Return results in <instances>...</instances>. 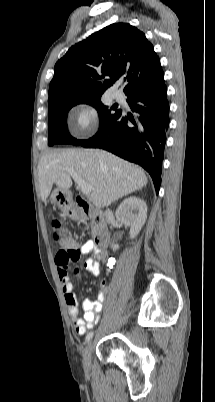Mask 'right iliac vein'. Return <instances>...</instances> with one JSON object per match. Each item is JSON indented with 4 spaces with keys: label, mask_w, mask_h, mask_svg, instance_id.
Returning <instances> with one entry per match:
<instances>
[{
    "label": "right iliac vein",
    "mask_w": 215,
    "mask_h": 402,
    "mask_svg": "<svg viewBox=\"0 0 215 402\" xmlns=\"http://www.w3.org/2000/svg\"><path fill=\"white\" fill-rule=\"evenodd\" d=\"M93 348H94V341H90L84 350L83 366H84L85 371H88L90 368V360H91Z\"/></svg>",
    "instance_id": "obj_1"
}]
</instances>
